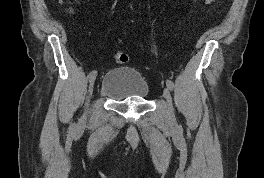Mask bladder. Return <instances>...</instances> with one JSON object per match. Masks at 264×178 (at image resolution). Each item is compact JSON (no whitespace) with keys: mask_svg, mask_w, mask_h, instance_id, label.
I'll list each match as a JSON object with an SVG mask.
<instances>
[{"mask_svg":"<svg viewBox=\"0 0 264 178\" xmlns=\"http://www.w3.org/2000/svg\"><path fill=\"white\" fill-rule=\"evenodd\" d=\"M100 94L113 101L145 100L150 87L143 75L132 67H118L107 72L100 84Z\"/></svg>","mask_w":264,"mask_h":178,"instance_id":"obj_1","label":"bladder"}]
</instances>
